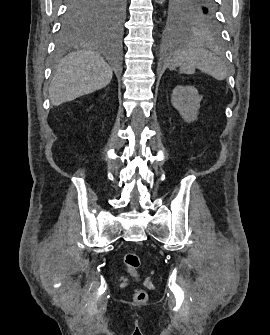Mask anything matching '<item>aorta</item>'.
I'll use <instances>...</instances> for the list:
<instances>
[{"mask_svg": "<svg viewBox=\"0 0 270 335\" xmlns=\"http://www.w3.org/2000/svg\"><path fill=\"white\" fill-rule=\"evenodd\" d=\"M162 2H164V0H160L159 4H162Z\"/></svg>", "mask_w": 270, "mask_h": 335, "instance_id": "762f6f07", "label": "aorta"}]
</instances>
